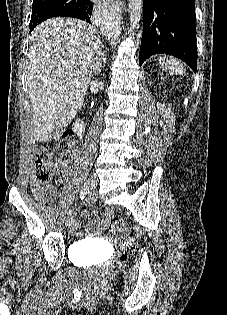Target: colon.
<instances>
[{
  "label": "colon",
  "instance_id": "5ec220e1",
  "mask_svg": "<svg viewBox=\"0 0 227 315\" xmlns=\"http://www.w3.org/2000/svg\"><path fill=\"white\" fill-rule=\"evenodd\" d=\"M73 145V135L68 130H60L51 135L45 145L36 147L34 151V164L31 172V182L36 187H47L55 166V154L65 157ZM112 233L130 236L131 232L127 223L119 218H113L109 222ZM125 255L121 256V260Z\"/></svg>",
  "mask_w": 227,
  "mask_h": 315
}]
</instances>
